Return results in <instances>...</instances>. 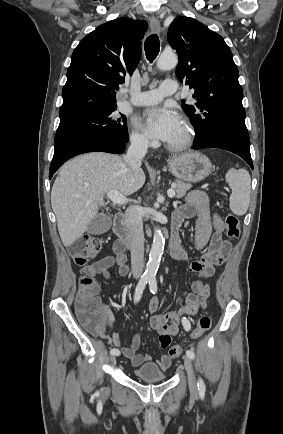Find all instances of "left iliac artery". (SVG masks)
Here are the masks:
<instances>
[{
    "label": "left iliac artery",
    "mask_w": 283,
    "mask_h": 434,
    "mask_svg": "<svg viewBox=\"0 0 283 434\" xmlns=\"http://www.w3.org/2000/svg\"><path fill=\"white\" fill-rule=\"evenodd\" d=\"M149 289L151 291V293L155 294L157 293V281L156 278L154 276L149 278ZM183 326L186 330L190 329V323L187 319H183L182 320ZM186 355L190 358V359H194L195 358V354L192 350H187L186 351ZM198 390L200 392H204L205 391V384L203 382V380L201 378H199L198 380Z\"/></svg>",
    "instance_id": "left-iliac-artery-1"
}]
</instances>
